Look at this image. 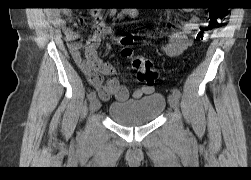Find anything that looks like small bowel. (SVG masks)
Segmentation results:
<instances>
[{
    "instance_id": "c3829d8e",
    "label": "small bowel",
    "mask_w": 251,
    "mask_h": 180,
    "mask_svg": "<svg viewBox=\"0 0 251 180\" xmlns=\"http://www.w3.org/2000/svg\"><path fill=\"white\" fill-rule=\"evenodd\" d=\"M66 14L67 13L60 12L54 13L53 22L56 26L62 29L74 61L86 75L88 82L95 88L103 100L115 97L117 101L122 102L129 97L139 99L153 92V85L144 84L129 92L128 89L122 86L115 77H110L107 80H104L105 76H111L114 74V68L111 64L100 60L97 57L96 51L101 40L104 37L111 35L113 30L104 21L100 12H92V15L98 18V23L94 34L85 43L84 56H82L80 52L81 40L78 33L66 24ZM136 15L137 11L135 9H125L120 13L121 18L135 17ZM199 25L200 17L198 14H195L188 21L183 23L179 30L173 31L170 34L168 42L161 46L163 53L170 58L181 56L192 45L190 34L195 31Z\"/></svg>"
}]
</instances>
